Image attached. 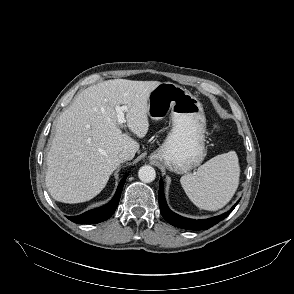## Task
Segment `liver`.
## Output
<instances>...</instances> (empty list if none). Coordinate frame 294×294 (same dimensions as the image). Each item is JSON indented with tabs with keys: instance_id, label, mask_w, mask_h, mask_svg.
Listing matches in <instances>:
<instances>
[{
	"instance_id": "1",
	"label": "liver",
	"mask_w": 294,
	"mask_h": 294,
	"mask_svg": "<svg viewBox=\"0 0 294 294\" xmlns=\"http://www.w3.org/2000/svg\"><path fill=\"white\" fill-rule=\"evenodd\" d=\"M159 81L108 80L83 90L58 117L47 153L46 186L64 203L86 202L106 186L122 163L123 150L133 157L139 144L123 133L117 122V105H127L130 131L143 138L149 129L148 97Z\"/></svg>"
}]
</instances>
